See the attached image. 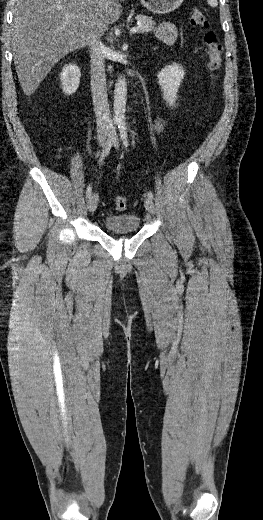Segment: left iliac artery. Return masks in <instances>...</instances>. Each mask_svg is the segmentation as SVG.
<instances>
[{
    "mask_svg": "<svg viewBox=\"0 0 263 520\" xmlns=\"http://www.w3.org/2000/svg\"><path fill=\"white\" fill-rule=\"evenodd\" d=\"M118 128H119V132H120V137L123 141V144L124 146L127 148L129 146V143H128V139H127V127H126V122L124 119H120L118 121ZM148 197L153 199L154 198V195L151 191H148Z\"/></svg>",
    "mask_w": 263,
    "mask_h": 520,
    "instance_id": "obj_1",
    "label": "left iliac artery"
}]
</instances>
